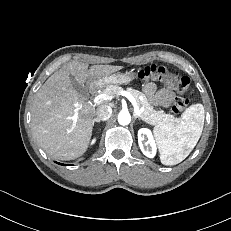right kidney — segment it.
Masks as SVG:
<instances>
[{
	"mask_svg": "<svg viewBox=\"0 0 231 231\" xmlns=\"http://www.w3.org/2000/svg\"><path fill=\"white\" fill-rule=\"evenodd\" d=\"M95 142H96V139H93L92 142H91V144H94Z\"/></svg>",
	"mask_w": 231,
	"mask_h": 231,
	"instance_id": "1",
	"label": "right kidney"
}]
</instances>
